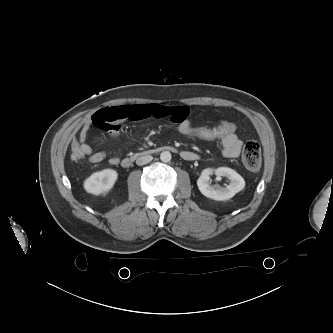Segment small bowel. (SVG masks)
Segmentation results:
<instances>
[{
	"label": "small bowel",
	"mask_w": 333,
	"mask_h": 333,
	"mask_svg": "<svg viewBox=\"0 0 333 333\" xmlns=\"http://www.w3.org/2000/svg\"><path fill=\"white\" fill-rule=\"evenodd\" d=\"M168 119L179 128H190L192 123L189 119V109L185 106H166L162 104H135L118 105L106 107L95 112L83 125L79 134V144L81 145L84 157L92 163H100L105 160L107 154L104 151H93L87 143L91 127H98L108 132L110 139L115 141L119 137L120 125L125 120H143L148 118ZM220 141L222 154L227 158H237L243 146L242 140L236 132H232ZM182 157L186 160L196 159V155L189 151H184ZM108 162L112 165L119 163V157L113 154Z\"/></svg>",
	"instance_id": "1"
}]
</instances>
